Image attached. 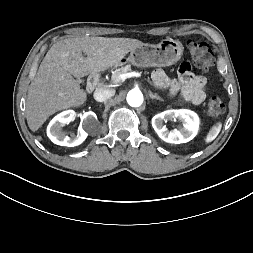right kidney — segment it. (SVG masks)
I'll return each mask as SVG.
<instances>
[{"mask_svg":"<svg viewBox=\"0 0 253 253\" xmlns=\"http://www.w3.org/2000/svg\"><path fill=\"white\" fill-rule=\"evenodd\" d=\"M75 116V111L67 110L61 112L51 120L47 127V135L53 143L61 146L74 147L80 145L86 139L88 136L86 130L90 129L91 125L97 121V116L92 111L84 113L83 127L79 129L77 135L71 133L70 136H68L62 131V127L65 124H69Z\"/></svg>","mask_w":253,"mask_h":253,"instance_id":"obj_1","label":"right kidney"}]
</instances>
